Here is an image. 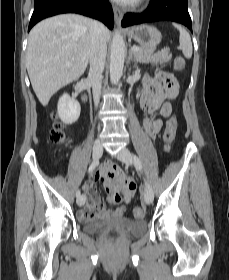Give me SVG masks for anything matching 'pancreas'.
I'll return each instance as SVG.
<instances>
[{
  "label": "pancreas",
  "instance_id": "pancreas-1",
  "mask_svg": "<svg viewBox=\"0 0 229 280\" xmlns=\"http://www.w3.org/2000/svg\"><path fill=\"white\" fill-rule=\"evenodd\" d=\"M133 57L136 62L162 65L171 60L172 54L168 49H163L154 53V50L139 48L138 52L133 53Z\"/></svg>",
  "mask_w": 229,
  "mask_h": 280
}]
</instances>
